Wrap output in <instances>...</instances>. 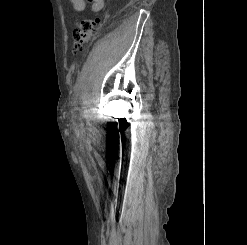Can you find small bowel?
Instances as JSON below:
<instances>
[{
	"label": "small bowel",
	"instance_id": "small-bowel-1",
	"mask_svg": "<svg viewBox=\"0 0 247 245\" xmlns=\"http://www.w3.org/2000/svg\"><path fill=\"white\" fill-rule=\"evenodd\" d=\"M90 3L91 11L93 13L100 12L104 7V0H88ZM72 10L76 14H80L85 10L86 1L85 0H70Z\"/></svg>",
	"mask_w": 247,
	"mask_h": 245
}]
</instances>
